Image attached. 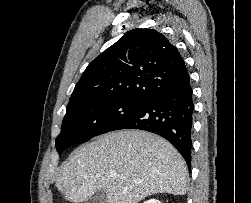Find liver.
<instances>
[{"label":"liver","instance_id":"1","mask_svg":"<svg viewBox=\"0 0 251 203\" xmlns=\"http://www.w3.org/2000/svg\"><path fill=\"white\" fill-rule=\"evenodd\" d=\"M187 178L184 159L168 141L145 131L121 130L76 149L56 187L73 203L101 190L107 203H138L157 193L186 194Z\"/></svg>","mask_w":251,"mask_h":203}]
</instances>
